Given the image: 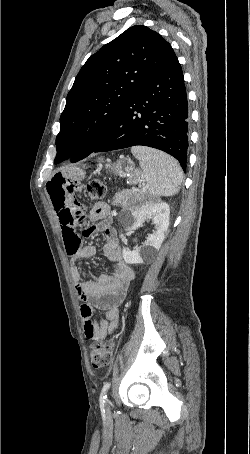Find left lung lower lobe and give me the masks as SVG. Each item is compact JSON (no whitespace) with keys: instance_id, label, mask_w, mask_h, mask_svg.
<instances>
[{"instance_id":"left-lung-lower-lobe-1","label":"left lung lower lobe","mask_w":250,"mask_h":454,"mask_svg":"<svg viewBox=\"0 0 250 454\" xmlns=\"http://www.w3.org/2000/svg\"><path fill=\"white\" fill-rule=\"evenodd\" d=\"M188 123L184 77L173 53L164 66L134 94L106 137L91 153L136 145L149 146L175 157L186 172ZM67 158L65 156L55 163ZM81 159L72 158V162Z\"/></svg>"}]
</instances>
